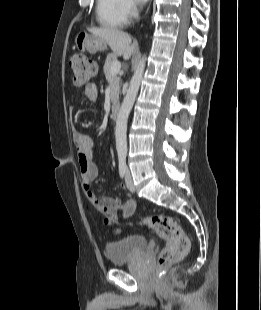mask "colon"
<instances>
[{"mask_svg":"<svg viewBox=\"0 0 261 310\" xmlns=\"http://www.w3.org/2000/svg\"><path fill=\"white\" fill-rule=\"evenodd\" d=\"M70 68L72 81L76 86H85L97 74V65L84 54L78 53L71 57ZM117 217L110 216L105 221L115 222ZM142 223L153 229L166 244L158 257L160 267L181 260L189 251L190 242L179 222L167 215H152L142 220ZM134 224L133 222L131 223Z\"/></svg>","mask_w":261,"mask_h":310,"instance_id":"1","label":"colon"}]
</instances>
